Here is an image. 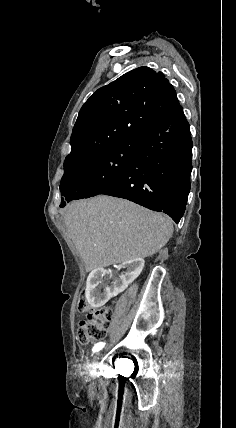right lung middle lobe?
Masks as SVG:
<instances>
[{"label":"right lung middle lobe","instance_id":"right-lung-middle-lobe-1","mask_svg":"<svg viewBox=\"0 0 236 428\" xmlns=\"http://www.w3.org/2000/svg\"><path fill=\"white\" fill-rule=\"evenodd\" d=\"M137 154V140L120 142L66 168L60 182L61 204L94 196L113 181Z\"/></svg>","mask_w":236,"mask_h":428}]
</instances>
